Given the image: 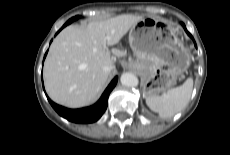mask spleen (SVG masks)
<instances>
[{"label":"spleen","instance_id":"1","mask_svg":"<svg viewBox=\"0 0 230 155\" xmlns=\"http://www.w3.org/2000/svg\"><path fill=\"white\" fill-rule=\"evenodd\" d=\"M193 79L188 78L181 86L169 89L161 95L146 97L148 107L157 112L160 117H172L184 109L191 97Z\"/></svg>","mask_w":230,"mask_h":155}]
</instances>
